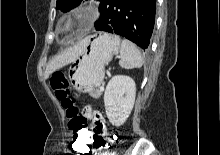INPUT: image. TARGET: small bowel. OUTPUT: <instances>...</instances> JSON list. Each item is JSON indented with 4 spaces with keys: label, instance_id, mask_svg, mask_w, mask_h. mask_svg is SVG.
I'll use <instances>...</instances> for the list:
<instances>
[{
    "label": "small bowel",
    "instance_id": "c3829d8e",
    "mask_svg": "<svg viewBox=\"0 0 220 155\" xmlns=\"http://www.w3.org/2000/svg\"><path fill=\"white\" fill-rule=\"evenodd\" d=\"M94 108H95L94 105H86L83 114H84V119L92 120V122H93L92 131H93V135L95 137L97 125L102 124L105 126V128H106V125H105L103 118L100 116L99 113H97L94 110ZM92 144H93V142H92ZM92 144H90L88 154H90V152H91ZM97 155H99V153Z\"/></svg>",
    "mask_w": 220,
    "mask_h": 155
}]
</instances>
